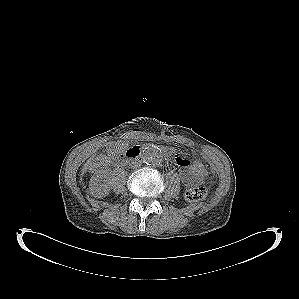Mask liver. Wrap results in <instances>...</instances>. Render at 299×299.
I'll use <instances>...</instances> for the list:
<instances>
[{
	"label": "liver",
	"mask_w": 299,
	"mask_h": 299,
	"mask_svg": "<svg viewBox=\"0 0 299 299\" xmlns=\"http://www.w3.org/2000/svg\"><path fill=\"white\" fill-rule=\"evenodd\" d=\"M92 165V161H88L87 164L83 168V173L87 171V169Z\"/></svg>",
	"instance_id": "1"
}]
</instances>
